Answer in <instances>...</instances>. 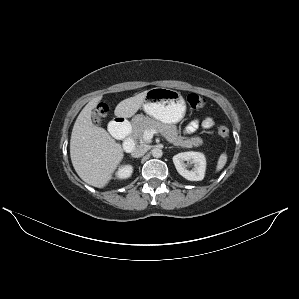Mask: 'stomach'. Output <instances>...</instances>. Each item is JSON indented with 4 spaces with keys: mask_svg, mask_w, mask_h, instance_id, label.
Wrapping results in <instances>:
<instances>
[{
    "mask_svg": "<svg viewBox=\"0 0 299 299\" xmlns=\"http://www.w3.org/2000/svg\"><path fill=\"white\" fill-rule=\"evenodd\" d=\"M142 107L153 119L169 124L179 122L186 112L180 92L163 87L148 90Z\"/></svg>",
    "mask_w": 299,
    "mask_h": 299,
    "instance_id": "1",
    "label": "stomach"
}]
</instances>
